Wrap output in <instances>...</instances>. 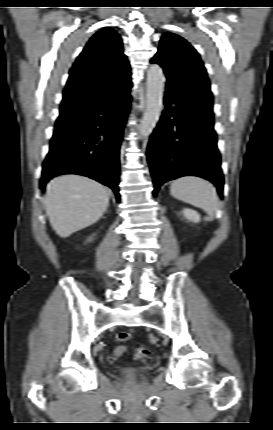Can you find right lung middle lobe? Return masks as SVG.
I'll use <instances>...</instances> for the list:
<instances>
[{"label":"right lung middle lobe","instance_id":"right-lung-middle-lobe-1","mask_svg":"<svg viewBox=\"0 0 273 430\" xmlns=\"http://www.w3.org/2000/svg\"><path fill=\"white\" fill-rule=\"evenodd\" d=\"M79 115H80L79 112L61 111L60 116L56 121L55 128H59V127L71 124L79 117Z\"/></svg>","mask_w":273,"mask_h":430}]
</instances>
